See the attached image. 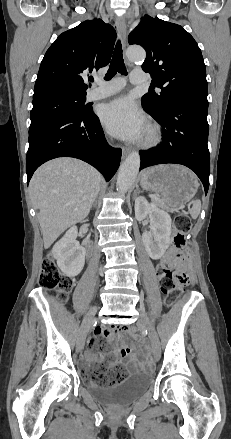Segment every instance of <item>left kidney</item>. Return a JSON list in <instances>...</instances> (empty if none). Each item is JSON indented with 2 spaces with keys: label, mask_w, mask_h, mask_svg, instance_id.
Wrapping results in <instances>:
<instances>
[{
  "label": "left kidney",
  "mask_w": 231,
  "mask_h": 439,
  "mask_svg": "<svg viewBox=\"0 0 231 439\" xmlns=\"http://www.w3.org/2000/svg\"><path fill=\"white\" fill-rule=\"evenodd\" d=\"M147 216L150 219V231L142 234V241L148 255L157 260L169 247L172 220L167 212L140 196L135 200V217L141 221Z\"/></svg>",
  "instance_id": "obj_1"
}]
</instances>
